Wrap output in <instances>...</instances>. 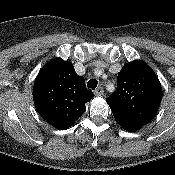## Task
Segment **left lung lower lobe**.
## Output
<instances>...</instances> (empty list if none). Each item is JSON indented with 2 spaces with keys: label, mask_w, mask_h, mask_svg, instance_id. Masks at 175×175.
<instances>
[{
  "label": "left lung lower lobe",
  "mask_w": 175,
  "mask_h": 175,
  "mask_svg": "<svg viewBox=\"0 0 175 175\" xmlns=\"http://www.w3.org/2000/svg\"><path fill=\"white\" fill-rule=\"evenodd\" d=\"M123 129L130 131V132H135L139 129H141V126L131 124V123H126V122H117Z\"/></svg>",
  "instance_id": "left-lung-lower-lobe-1"
}]
</instances>
